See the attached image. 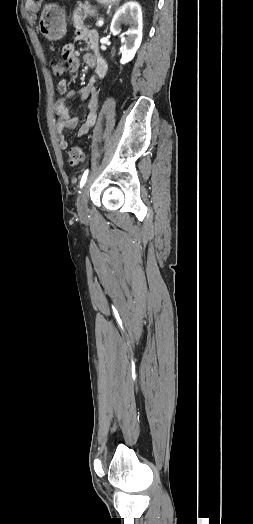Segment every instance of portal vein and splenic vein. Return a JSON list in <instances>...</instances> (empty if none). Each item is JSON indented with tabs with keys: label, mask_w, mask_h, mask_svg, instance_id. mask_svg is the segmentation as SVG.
Masks as SVG:
<instances>
[{
	"label": "portal vein and splenic vein",
	"mask_w": 253,
	"mask_h": 524,
	"mask_svg": "<svg viewBox=\"0 0 253 524\" xmlns=\"http://www.w3.org/2000/svg\"><path fill=\"white\" fill-rule=\"evenodd\" d=\"M103 24H104V21H103V20H99V21H97V24H96V25H97V26H102Z\"/></svg>",
	"instance_id": "18ae733b"
}]
</instances>
